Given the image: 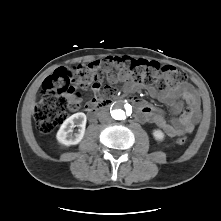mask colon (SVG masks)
I'll use <instances>...</instances> for the list:
<instances>
[{"instance_id": "5ec220e1", "label": "colon", "mask_w": 221, "mask_h": 221, "mask_svg": "<svg viewBox=\"0 0 221 221\" xmlns=\"http://www.w3.org/2000/svg\"><path fill=\"white\" fill-rule=\"evenodd\" d=\"M112 60L92 62L74 68L60 67L55 69L43 82L40 98L35 106L37 127L43 133L52 132L67 116V109L73 108L72 101L77 96L78 89L94 87L102 79V67H108ZM139 84H156L161 88L169 87L184 81L187 76L181 70L157 62L136 59H120L115 61ZM114 88L108 87L106 95L112 96ZM186 137L175 140L177 145H183Z\"/></svg>"}]
</instances>
